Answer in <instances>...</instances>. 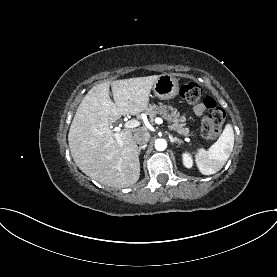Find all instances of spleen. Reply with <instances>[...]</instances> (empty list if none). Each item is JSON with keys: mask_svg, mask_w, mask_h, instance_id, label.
<instances>
[{"mask_svg": "<svg viewBox=\"0 0 277 277\" xmlns=\"http://www.w3.org/2000/svg\"><path fill=\"white\" fill-rule=\"evenodd\" d=\"M233 147V127L227 124L218 140L208 150L198 149L196 163L200 172L204 175H211L220 171L229 159Z\"/></svg>", "mask_w": 277, "mask_h": 277, "instance_id": "obj_1", "label": "spleen"}]
</instances>
